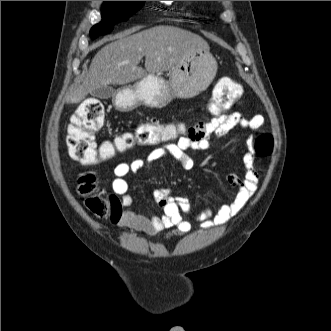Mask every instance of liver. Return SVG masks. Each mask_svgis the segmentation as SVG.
Listing matches in <instances>:
<instances>
[{"label": "liver", "mask_w": 331, "mask_h": 331, "mask_svg": "<svg viewBox=\"0 0 331 331\" xmlns=\"http://www.w3.org/2000/svg\"><path fill=\"white\" fill-rule=\"evenodd\" d=\"M208 43L199 35L173 26H155L131 35L120 34L92 59L81 85L66 101L79 103L95 89L109 84L125 85L147 76L172 70L186 56ZM145 56V69L139 67Z\"/></svg>", "instance_id": "6515ba94"}]
</instances>
